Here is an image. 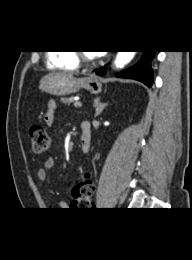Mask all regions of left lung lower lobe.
I'll list each match as a JSON object with an SVG mask.
<instances>
[{
  "label": "left lung lower lobe",
  "instance_id": "0a47b994",
  "mask_svg": "<svg viewBox=\"0 0 192 260\" xmlns=\"http://www.w3.org/2000/svg\"><path fill=\"white\" fill-rule=\"evenodd\" d=\"M144 54L141 60L133 67L124 70L116 75L120 78H132L141 81L148 87L152 86L153 83V72L151 70V60L154 57L156 51H143ZM105 67H101L96 70L99 75L105 74Z\"/></svg>",
  "mask_w": 192,
  "mask_h": 260
}]
</instances>
